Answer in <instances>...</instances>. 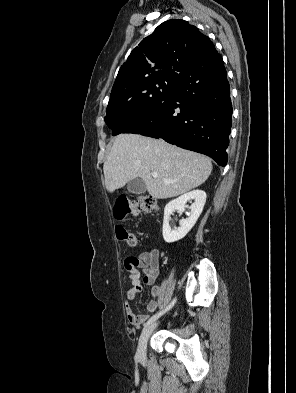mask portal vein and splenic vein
Instances as JSON below:
<instances>
[{
    "label": "portal vein and splenic vein",
    "instance_id": "portal-vein-and-splenic-vein-1",
    "mask_svg": "<svg viewBox=\"0 0 296 393\" xmlns=\"http://www.w3.org/2000/svg\"><path fill=\"white\" fill-rule=\"evenodd\" d=\"M151 175H152L153 178H157V177H158V174L155 173V172H153ZM164 181L167 182V183H169L168 180H164Z\"/></svg>",
    "mask_w": 296,
    "mask_h": 393
}]
</instances>
